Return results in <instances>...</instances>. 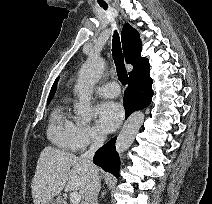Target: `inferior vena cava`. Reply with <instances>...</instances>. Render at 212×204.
I'll use <instances>...</instances> for the list:
<instances>
[{
    "instance_id": "obj_1",
    "label": "inferior vena cava",
    "mask_w": 212,
    "mask_h": 204,
    "mask_svg": "<svg viewBox=\"0 0 212 204\" xmlns=\"http://www.w3.org/2000/svg\"><path fill=\"white\" fill-rule=\"evenodd\" d=\"M105 134L102 132H97L92 138V143L88 151L83 153L80 159L86 164L89 169L85 195H84V204H98V194L100 191V182L99 176L97 173V169L94 166L92 159L94 157L95 152L102 147L105 141Z\"/></svg>"
}]
</instances>
